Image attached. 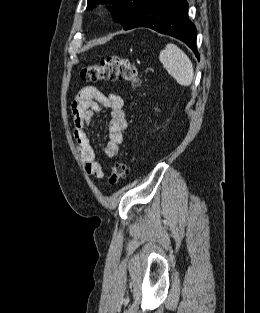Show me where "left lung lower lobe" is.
I'll list each match as a JSON object with an SVG mask.
<instances>
[{
	"label": "left lung lower lobe",
	"mask_w": 260,
	"mask_h": 313,
	"mask_svg": "<svg viewBox=\"0 0 260 313\" xmlns=\"http://www.w3.org/2000/svg\"><path fill=\"white\" fill-rule=\"evenodd\" d=\"M186 0H152L125 29L148 27L186 43L196 57V28L187 18Z\"/></svg>",
	"instance_id": "1"
}]
</instances>
